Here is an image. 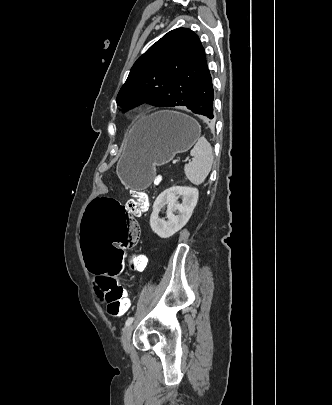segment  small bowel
<instances>
[{
  "label": "small bowel",
  "mask_w": 332,
  "mask_h": 405,
  "mask_svg": "<svg viewBox=\"0 0 332 405\" xmlns=\"http://www.w3.org/2000/svg\"><path fill=\"white\" fill-rule=\"evenodd\" d=\"M134 220H137V219L134 217ZM137 227H139L138 221H137ZM136 244H137V243H136ZM97 293H98V295H99L100 297H102V295H101V293L99 292V290H97Z\"/></svg>",
  "instance_id": "1"
}]
</instances>
